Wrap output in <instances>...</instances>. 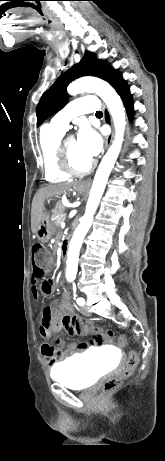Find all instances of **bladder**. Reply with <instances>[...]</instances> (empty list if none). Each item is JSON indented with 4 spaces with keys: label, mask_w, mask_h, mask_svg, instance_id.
I'll use <instances>...</instances> for the list:
<instances>
[{
    "label": "bladder",
    "mask_w": 165,
    "mask_h": 461,
    "mask_svg": "<svg viewBox=\"0 0 165 461\" xmlns=\"http://www.w3.org/2000/svg\"><path fill=\"white\" fill-rule=\"evenodd\" d=\"M107 370L99 354L83 353L53 366L51 377L70 389L81 390L91 387Z\"/></svg>",
    "instance_id": "1"
}]
</instances>
